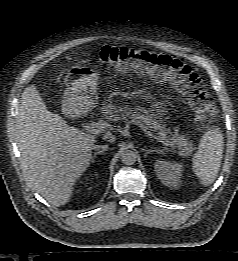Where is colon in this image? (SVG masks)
Here are the masks:
<instances>
[{"mask_svg": "<svg viewBox=\"0 0 238 261\" xmlns=\"http://www.w3.org/2000/svg\"><path fill=\"white\" fill-rule=\"evenodd\" d=\"M97 59L121 71L133 70L155 79L172 81L201 125H208L214 120L216 108L211 96L199 75L181 60L146 49L110 45L100 48Z\"/></svg>", "mask_w": 238, "mask_h": 261, "instance_id": "obj_1", "label": "colon"}]
</instances>
